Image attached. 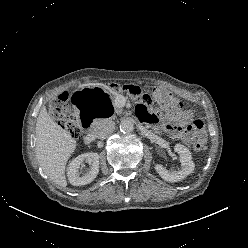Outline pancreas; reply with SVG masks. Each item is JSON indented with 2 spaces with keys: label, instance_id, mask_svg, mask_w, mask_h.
Returning a JSON list of instances; mask_svg holds the SVG:
<instances>
[{
  "label": "pancreas",
  "instance_id": "obj_1",
  "mask_svg": "<svg viewBox=\"0 0 248 248\" xmlns=\"http://www.w3.org/2000/svg\"><path fill=\"white\" fill-rule=\"evenodd\" d=\"M116 113H117V114H121V113H122V110H121V109H117V110H116Z\"/></svg>",
  "mask_w": 248,
  "mask_h": 248
}]
</instances>
